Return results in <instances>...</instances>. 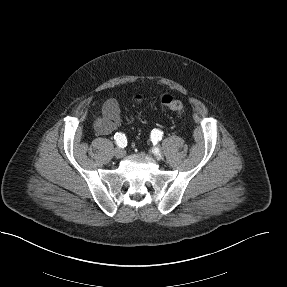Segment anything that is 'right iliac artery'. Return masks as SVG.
I'll use <instances>...</instances> for the list:
<instances>
[{
	"mask_svg": "<svg viewBox=\"0 0 287 287\" xmlns=\"http://www.w3.org/2000/svg\"><path fill=\"white\" fill-rule=\"evenodd\" d=\"M114 139L116 140L117 145L120 148H124L127 145V140L124 134L122 133H116L114 136Z\"/></svg>",
	"mask_w": 287,
	"mask_h": 287,
	"instance_id": "1",
	"label": "right iliac artery"
}]
</instances>
